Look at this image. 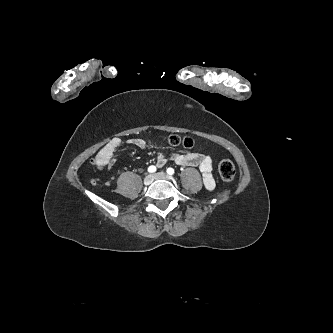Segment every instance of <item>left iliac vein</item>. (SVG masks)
I'll use <instances>...</instances> for the list:
<instances>
[{"label":"left iliac vein","mask_w":333,"mask_h":333,"mask_svg":"<svg viewBox=\"0 0 333 333\" xmlns=\"http://www.w3.org/2000/svg\"><path fill=\"white\" fill-rule=\"evenodd\" d=\"M155 179L171 180V177L164 172H158L154 175Z\"/></svg>","instance_id":"4c4485c4"}]
</instances>
